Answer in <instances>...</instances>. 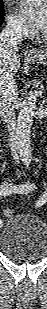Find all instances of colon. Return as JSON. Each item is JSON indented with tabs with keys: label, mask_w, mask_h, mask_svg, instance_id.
I'll use <instances>...</instances> for the list:
<instances>
[{
	"label": "colon",
	"mask_w": 47,
	"mask_h": 309,
	"mask_svg": "<svg viewBox=\"0 0 47 309\" xmlns=\"http://www.w3.org/2000/svg\"><path fill=\"white\" fill-rule=\"evenodd\" d=\"M3 213H4V215H5L6 217H11V216H13V214H14L13 210H11V209H5V210L3 211Z\"/></svg>",
	"instance_id": "1"
}]
</instances>
